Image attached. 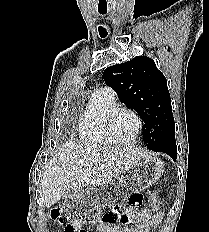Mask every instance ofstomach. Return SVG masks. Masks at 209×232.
<instances>
[{
    "mask_svg": "<svg viewBox=\"0 0 209 232\" xmlns=\"http://www.w3.org/2000/svg\"><path fill=\"white\" fill-rule=\"evenodd\" d=\"M164 162L157 157L145 158L119 176H112L111 182H101V186H90L84 194H74L67 198L63 214H69L74 221H89L88 214L97 208L116 203V199H126L133 190H143L154 184L162 175Z\"/></svg>",
    "mask_w": 209,
    "mask_h": 232,
    "instance_id": "obj_1",
    "label": "stomach"
}]
</instances>
